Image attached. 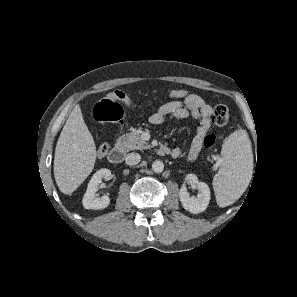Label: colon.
I'll return each mask as SVG.
<instances>
[{"label":"colon","mask_w":297,"mask_h":297,"mask_svg":"<svg viewBox=\"0 0 297 297\" xmlns=\"http://www.w3.org/2000/svg\"><path fill=\"white\" fill-rule=\"evenodd\" d=\"M189 95L186 89L171 90L168 96L171 99L179 100L184 99ZM122 103L131 104L130 98L122 91H115L108 96L101 99L94 108L95 120L101 125L106 124L118 125L123 120V108ZM230 118L229 109L224 104H218L214 107L210 119L213 124L217 126L225 125ZM216 137L214 135L207 136L204 142L206 148H210L214 145ZM110 145L107 142H103L97 149L98 157L102 158L107 155Z\"/></svg>","instance_id":"colon-1"}]
</instances>
